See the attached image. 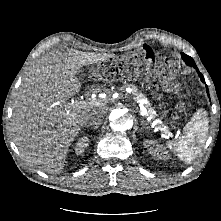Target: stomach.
Instances as JSON below:
<instances>
[{"label": "stomach", "mask_w": 221, "mask_h": 221, "mask_svg": "<svg viewBox=\"0 0 221 221\" xmlns=\"http://www.w3.org/2000/svg\"><path fill=\"white\" fill-rule=\"evenodd\" d=\"M143 83L148 91L156 93L164 88L166 80L161 72L153 70L145 75Z\"/></svg>", "instance_id": "obj_1"}]
</instances>
